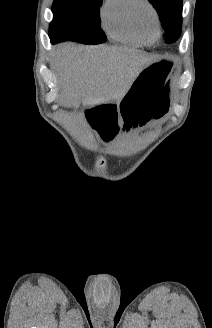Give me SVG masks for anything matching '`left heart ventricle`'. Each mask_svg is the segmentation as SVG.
<instances>
[{
  "instance_id": "1",
  "label": "left heart ventricle",
  "mask_w": 212,
  "mask_h": 328,
  "mask_svg": "<svg viewBox=\"0 0 212 328\" xmlns=\"http://www.w3.org/2000/svg\"><path fill=\"white\" fill-rule=\"evenodd\" d=\"M140 16L146 26L148 32H154V22L151 12L147 8H142L140 10Z\"/></svg>"
}]
</instances>
